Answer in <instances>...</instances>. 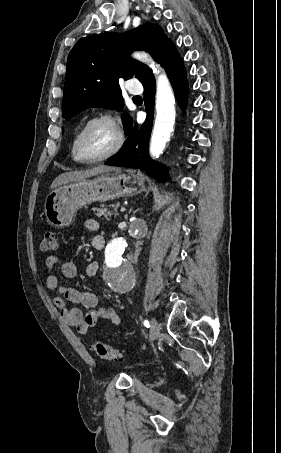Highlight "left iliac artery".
I'll return each instance as SVG.
<instances>
[{
    "instance_id": "obj_1",
    "label": "left iliac artery",
    "mask_w": 281,
    "mask_h": 453,
    "mask_svg": "<svg viewBox=\"0 0 281 453\" xmlns=\"http://www.w3.org/2000/svg\"><path fill=\"white\" fill-rule=\"evenodd\" d=\"M144 325H145L147 328L150 327L149 322H148L147 320L144 321Z\"/></svg>"
}]
</instances>
